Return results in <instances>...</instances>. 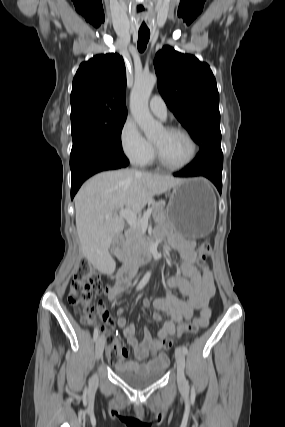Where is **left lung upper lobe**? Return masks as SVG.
<instances>
[{"instance_id": "1", "label": "left lung upper lobe", "mask_w": 285, "mask_h": 427, "mask_svg": "<svg viewBox=\"0 0 285 427\" xmlns=\"http://www.w3.org/2000/svg\"><path fill=\"white\" fill-rule=\"evenodd\" d=\"M154 67L162 97L200 151L221 149L219 94L209 65L164 46Z\"/></svg>"}]
</instances>
